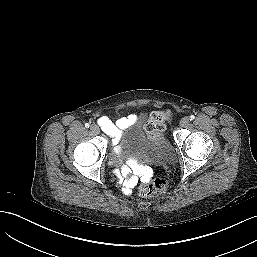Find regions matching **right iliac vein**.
Returning a JSON list of instances; mask_svg holds the SVG:
<instances>
[{"label": "right iliac vein", "instance_id": "obj_1", "mask_svg": "<svg viewBox=\"0 0 257 257\" xmlns=\"http://www.w3.org/2000/svg\"><path fill=\"white\" fill-rule=\"evenodd\" d=\"M90 130H91L92 133H94V134H99V133H100V129H99V127H98L96 124H93V125L90 127Z\"/></svg>", "mask_w": 257, "mask_h": 257}]
</instances>
